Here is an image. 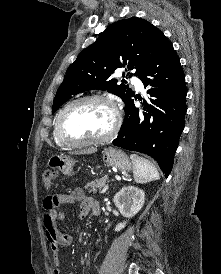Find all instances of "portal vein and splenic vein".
I'll use <instances>...</instances> for the list:
<instances>
[{
    "label": "portal vein and splenic vein",
    "mask_w": 221,
    "mask_h": 274,
    "mask_svg": "<svg viewBox=\"0 0 221 274\" xmlns=\"http://www.w3.org/2000/svg\"><path fill=\"white\" fill-rule=\"evenodd\" d=\"M115 179L118 180V181H120V180H121V177L118 176V175H116V176H115ZM107 189H108V186H106V187L101 191V193L106 192Z\"/></svg>",
    "instance_id": "1"
}]
</instances>
